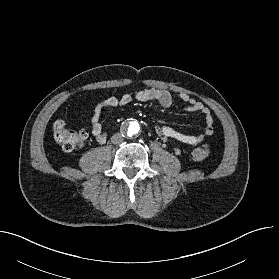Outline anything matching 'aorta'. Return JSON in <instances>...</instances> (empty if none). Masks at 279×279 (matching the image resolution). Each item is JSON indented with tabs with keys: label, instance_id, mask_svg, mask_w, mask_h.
Segmentation results:
<instances>
[{
	"label": "aorta",
	"instance_id": "1",
	"mask_svg": "<svg viewBox=\"0 0 279 279\" xmlns=\"http://www.w3.org/2000/svg\"><path fill=\"white\" fill-rule=\"evenodd\" d=\"M125 131L128 136H136L140 132V125L137 121H128L124 125Z\"/></svg>",
	"mask_w": 279,
	"mask_h": 279
}]
</instances>
